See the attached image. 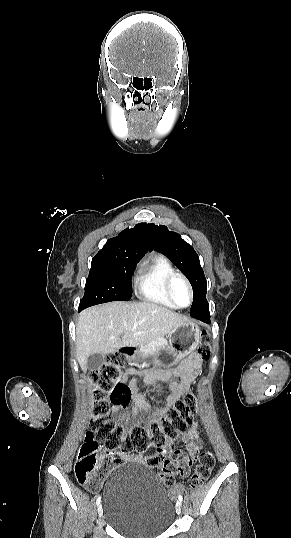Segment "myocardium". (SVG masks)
Returning <instances> with one entry per match:
<instances>
[{
  "instance_id": "1",
  "label": "myocardium",
  "mask_w": 291,
  "mask_h": 538,
  "mask_svg": "<svg viewBox=\"0 0 291 538\" xmlns=\"http://www.w3.org/2000/svg\"><path fill=\"white\" fill-rule=\"evenodd\" d=\"M177 280L183 281L185 283V285L187 286V288H188V291H189V303L186 306H181V305L177 304V302L175 301L174 294H173V286H174V283ZM166 293H167V296H168L169 300L172 302V304L176 308H179V309H185V308L189 307L193 303V300H194L193 287H192L190 281L188 280V278L185 275H183L181 273H178V272L172 274L166 280Z\"/></svg>"
}]
</instances>
